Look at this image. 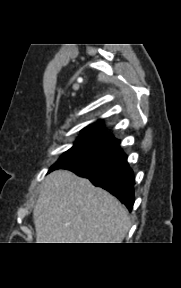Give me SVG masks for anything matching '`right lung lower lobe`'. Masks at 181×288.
<instances>
[{"instance_id": "obj_1", "label": "right lung lower lobe", "mask_w": 181, "mask_h": 288, "mask_svg": "<svg viewBox=\"0 0 181 288\" xmlns=\"http://www.w3.org/2000/svg\"><path fill=\"white\" fill-rule=\"evenodd\" d=\"M62 168L88 178L94 185L109 191L132 210L135 201L134 176L125 154L96 162H79Z\"/></svg>"}]
</instances>
